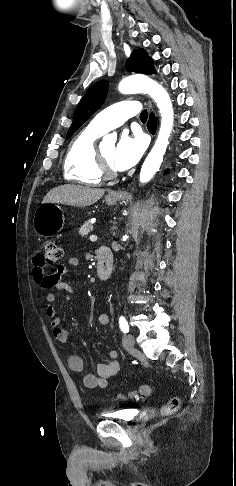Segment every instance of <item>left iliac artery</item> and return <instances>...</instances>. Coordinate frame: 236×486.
Segmentation results:
<instances>
[{
  "mask_svg": "<svg viewBox=\"0 0 236 486\" xmlns=\"http://www.w3.org/2000/svg\"><path fill=\"white\" fill-rule=\"evenodd\" d=\"M119 326H120V329H121L122 332H124V333L129 332L128 322L126 321V319L123 316H120V318H119Z\"/></svg>",
  "mask_w": 236,
  "mask_h": 486,
  "instance_id": "obj_1",
  "label": "left iliac artery"
}]
</instances>
